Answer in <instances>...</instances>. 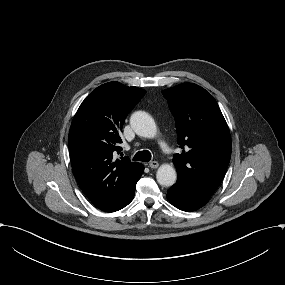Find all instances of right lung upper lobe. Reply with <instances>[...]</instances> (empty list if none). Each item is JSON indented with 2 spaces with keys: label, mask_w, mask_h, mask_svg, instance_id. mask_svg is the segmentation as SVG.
Here are the masks:
<instances>
[{
  "label": "right lung upper lobe",
  "mask_w": 285,
  "mask_h": 285,
  "mask_svg": "<svg viewBox=\"0 0 285 285\" xmlns=\"http://www.w3.org/2000/svg\"><path fill=\"white\" fill-rule=\"evenodd\" d=\"M146 91L109 82L97 87L77 110L68 137L74 176L100 210L115 211L125 200L144 166L128 157L115 159L127 114Z\"/></svg>",
  "instance_id": "1"
}]
</instances>
